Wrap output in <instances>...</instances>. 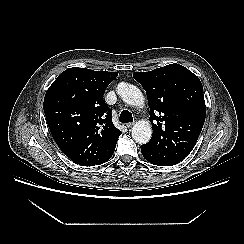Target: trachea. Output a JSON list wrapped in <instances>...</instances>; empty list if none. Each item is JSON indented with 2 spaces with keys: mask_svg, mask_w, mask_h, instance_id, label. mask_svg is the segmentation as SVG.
<instances>
[{
  "mask_svg": "<svg viewBox=\"0 0 244 244\" xmlns=\"http://www.w3.org/2000/svg\"><path fill=\"white\" fill-rule=\"evenodd\" d=\"M119 121L122 123H128L133 121V116L128 110H123L120 114Z\"/></svg>",
  "mask_w": 244,
  "mask_h": 244,
  "instance_id": "3493384b",
  "label": "trachea"
}]
</instances>
